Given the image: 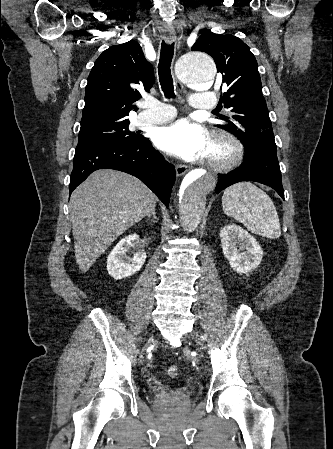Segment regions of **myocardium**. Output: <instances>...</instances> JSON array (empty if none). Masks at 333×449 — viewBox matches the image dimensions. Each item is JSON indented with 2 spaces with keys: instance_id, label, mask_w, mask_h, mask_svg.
I'll use <instances>...</instances> for the list:
<instances>
[{
  "instance_id": "1",
  "label": "myocardium",
  "mask_w": 333,
  "mask_h": 449,
  "mask_svg": "<svg viewBox=\"0 0 333 449\" xmlns=\"http://www.w3.org/2000/svg\"><path fill=\"white\" fill-rule=\"evenodd\" d=\"M211 146L217 154L208 156L207 165L218 172H225L236 167L244 157V146L235 136L220 132L213 136Z\"/></svg>"
}]
</instances>
